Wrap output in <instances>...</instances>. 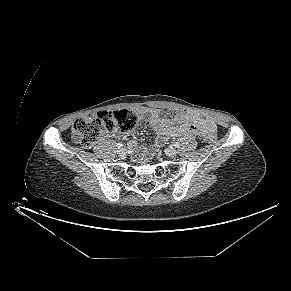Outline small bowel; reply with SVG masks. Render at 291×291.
Instances as JSON below:
<instances>
[{
    "mask_svg": "<svg viewBox=\"0 0 291 291\" xmlns=\"http://www.w3.org/2000/svg\"><path fill=\"white\" fill-rule=\"evenodd\" d=\"M140 115L148 120L157 133L159 141H165L172 136L203 135L215 128L212 121L195 112H184L172 118H163L157 110L142 109ZM135 145L134 141L130 142V147Z\"/></svg>",
    "mask_w": 291,
    "mask_h": 291,
    "instance_id": "small-bowel-1",
    "label": "small bowel"
}]
</instances>
